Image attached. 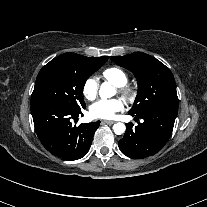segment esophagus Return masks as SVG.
Segmentation results:
<instances>
[{"instance_id": "1", "label": "esophagus", "mask_w": 207, "mask_h": 207, "mask_svg": "<svg viewBox=\"0 0 207 207\" xmlns=\"http://www.w3.org/2000/svg\"><path fill=\"white\" fill-rule=\"evenodd\" d=\"M101 123L107 124V125H112L115 123V121H111V120H103L101 121Z\"/></svg>"}]
</instances>
